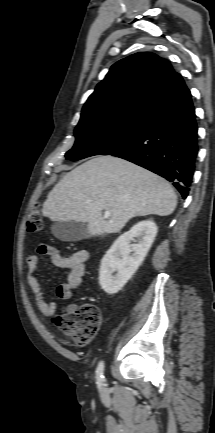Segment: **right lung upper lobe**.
<instances>
[{"instance_id": "1", "label": "right lung upper lobe", "mask_w": 215, "mask_h": 433, "mask_svg": "<svg viewBox=\"0 0 215 433\" xmlns=\"http://www.w3.org/2000/svg\"><path fill=\"white\" fill-rule=\"evenodd\" d=\"M170 62L150 52L115 63L85 103L79 122L145 115L186 89Z\"/></svg>"}]
</instances>
